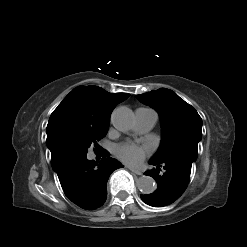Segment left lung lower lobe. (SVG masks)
Here are the masks:
<instances>
[{
    "mask_svg": "<svg viewBox=\"0 0 247 247\" xmlns=\"http://www.w3.org/2000/svg\"><path fill=\"white\" fill-rule=\"evenodd\" d=\"M149 164L156 166L144 174L153 177L158 187L152 194L141 195L146 204L153 207H162L177 200L187 188L192 163L181 158H172L164 161L151 159ZM161 167L164 168L161 171Z\"/></svg>",
    "mask_w": 247,
    "mask_h": 247,
    "instance_id": "1",
    "label": "left lung lower lobe"
}]
</instances>
